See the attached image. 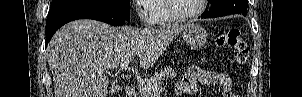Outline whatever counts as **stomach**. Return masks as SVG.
I'll use <instances>...</instances> for the list:
<instances>
[{
  "mask_svg": "<svg viewBox=\"0 0 302 97\" xmlns=\"http://www.w3.org/2000/svg\"><path fill=\"white\" fill-rule=\"evenodd\" d=\"M183 42L190 47L202 46L207 39L206 30L198 24H187L181 33Z\"/></svg>",
  "mask_w": 302,
  "mask_h": 97,
  "instance_id": "stomach-1",
  "label": "stomach"
}]
</instances>
